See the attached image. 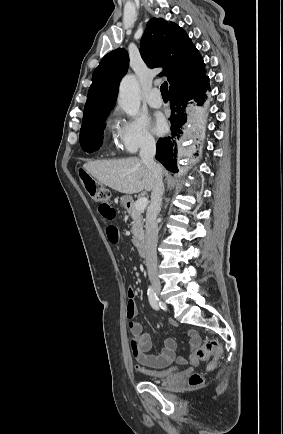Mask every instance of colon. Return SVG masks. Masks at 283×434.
<instances>
[{
  "mask_svg": "<svg viewBox=\"0 0 283 434\" xmlns=\"http://www.w3.org/2000/svg\"><path fill=\"white\" fill-rule=\"evenodd\" d=\"M81 179L87 193L95 202L99 204L110 203L111 193L104 185L95 181L85 172L81 173ZM220 354L221 348L216 340L205 341L196 351V355L200 360H209L210 358H213L214 361L209 365L210 369L214 368L215 360L220 356ZM202 383L203 377L198 373H194L189 377V384L192 387H197Z\"/></svg>",
  "mask_w": 283,
  "mask_h": 434,
  "instance_id": "colon-1",
  "label": "colon"
}]
</instances>
